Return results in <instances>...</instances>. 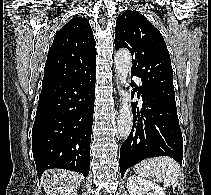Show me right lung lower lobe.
Masks as SVG:
<instances>
[{
  "label": "right lung lower lobe",
  "mask_w": 211,
  "mask_h": 195,
  "mask_svg": "<svg viewBox=\"0 0 211 195\" xmlns=\"http://www.w3.org/2000/svg\"><path fill=\"white\" fill-rule=\"evenodd\" d=\"M96 66L42 85L32 130V151L38 178L46 169L90 170Z\"/></svg>",
  "instance_id": "right-lung-lower-lobe-1"
}]
</instances>
